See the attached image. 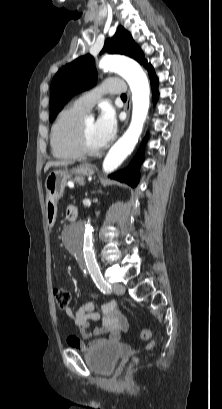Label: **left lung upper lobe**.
<instances>
[{
    "instance_id": "left-lung-upper-lobe-1",
    "label": "left lung upper lobe",
    "mask_w": 222,
    "mask_h": 409,
    "mask_svg": "<svg viewBox=\"0 0 222 409\" xmlns=\"http://www.w3.org/2000/svg\"><path fill=\"white\" fill-rule=\"evenodd\" d=\"M105 50L109 53L132 57L148 70L150 76L155 74L153 67L147 63L143 52L134 42L131 34L122 26L118 27L112 39L105 42L101 54ZM96 75L94 59L89 54L62 67L54 76L50 87V121L55 119L57 113L74 94L94 86Z\"/></svg>"
}]
</instances>
